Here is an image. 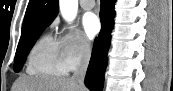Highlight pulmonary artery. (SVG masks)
I'll list each match as a JSON object with an SVG mask.
<instances>
[{
	"instance_id": "e3ab8cb5",
	"label": "pulmonary artery",
	"mask_w": 173,
	"mask_h": 91,
	"mask_svg": "<svg viewBox=\"0 0 173 91\" xmlns=\"http://www.w3.org/2000/svg\"><path fill=\"white\" fill-rule=\"evenodd\" d=\"M80 5L84 10H90L95 6L94 0H81Z\"/></svg>"
}]
</instances>
